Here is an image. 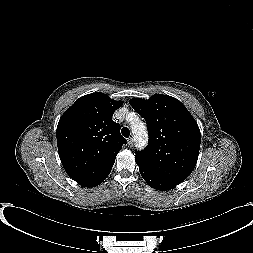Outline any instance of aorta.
I'll use <instances>...</instances> for the list:
<instances>
[{
  "label": "aorta",
  "mask_w": 253,
  "mask_h": 253,
  "mask_svg": "<svg viewBox=\"0 0 253 253\" xmlns=\"http://www.w3.org/2000/svg\"><path fill=\"white\" fill-rule=\"evenodd\" d=\"M132 133L135 136L137 147L143 148L147 144V129L142 122L132 125Z\"/></svg>",
  "instance_id": "1"
}]
</instances>
